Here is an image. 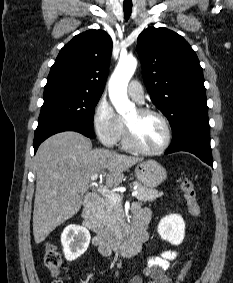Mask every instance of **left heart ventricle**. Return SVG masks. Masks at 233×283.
Listing matches in <instances>:
<instances>
[{"mask_svg":"<svg viewBox=\"0 0 233 283\" xmlns=\"http://www.w3.org/2000/svg\"><path fill=\"white\" fill-rule=\"evenodd\" d=\"M125 121L132 127L138 143L143 147L155 150L164 144L166 129L159 117L141 116L135 110L125 118Z\"/></svg>","mask_w":233,"mask_h":283,"instance_id":"1","label":"left heart ventricle"}]
</instances>
